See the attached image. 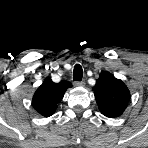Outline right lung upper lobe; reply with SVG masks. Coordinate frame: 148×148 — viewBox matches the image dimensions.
I'll return each mask as SVG.
<instances>
[{
    "mask_svg": "<svg viewBox=\"0 0 148 148\" xmlns=\"http://www.w3.org/2000/svg\"><path fill=\"white\" fill-rule=\"evenodd\" d=\"M71 86L68 81L54 83L51 78L47 77L34 93L32 99L34 109L44 117L53 115L66 90Z\"/></svg>",
    "mask_w": 148,
    "mask_h": 148,
    "instance_id": "cb5924a9",
    "label": "right lung upper lobe"
}]
</instances>
